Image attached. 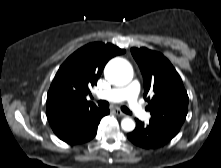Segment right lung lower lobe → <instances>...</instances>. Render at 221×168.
<instances>
[{"label": "right lung lower lobe", "mask_w": 221, "mask_h": 168, "mask_svg": "<svg viewBox=\"0 0 221 168\" xmlns=\"http://www.w3.org/2000/svg\"><path fill=\"white\" fill-rule=\"evenodd\" d=\"M109 109L98 108L72 118L50 123L58 138L68 144H80L95 137L100 120L109 114Z\"/></svg>", "instance_id": "right-lung-lower-lobe-1"}]
</instances>
